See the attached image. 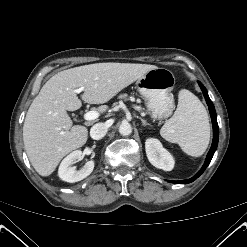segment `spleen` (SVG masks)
Masks as SVG:
<instances>
[{"instance_id":"3e777b00","label":"spleen","mask_w":247,"mask_h":247,"mask_svg":"<svg viewBox=\"0 0 247 247\" xmlns=\"http://www.w3.org/2000/svg\"><path fill=\"white\" fill-rule=\"evenodd\" d=\"M160 134L167 141L179 144L190 156L203 155L210 140L209 119L204 105L189 90H180L177 109L163 125Z\"/></svg>"}]
</instances>
